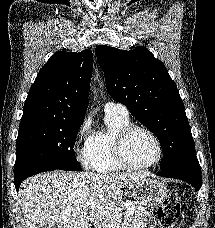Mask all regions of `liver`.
<instances>
[{
	"instance_id": "6515ba94",
	"label": "liver",
	"mask_w": 215,
	"mask_h": 228,
	"mask_svg": "<svg viewBox=\"0 0 215 228\" xmlns=\"http://www.w3.org/2000/svg\"><path fill=\"white\" fill-rule=\"evenodd\" d=\"M147 178L133 174L44 172L24 180L18 202L28 228H119L123 188ZM96 206L89 208L88 200Z\"/></svg>"
}]
</instances>
